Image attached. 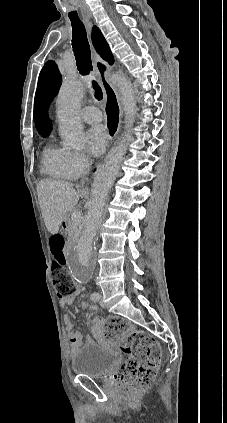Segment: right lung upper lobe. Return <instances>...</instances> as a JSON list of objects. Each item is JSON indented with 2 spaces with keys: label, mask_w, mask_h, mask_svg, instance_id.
Masks as SVG:
<instances>
[{
  "label": "right lung upper lobe",
  "mask_w": 227,
  "mask_h": 423,
  "mask_svg": "<svg viewBox=\"0 0 227 423\" xmlns=\"http://www.w3.org/2000/svg\"><path fill=\"white\" fill-rule=\"evenodd\" d=\"M92 31V42L97 52L105 61L113 64L114 57L102 33L96 26ZM61 83L62 77L57 65L53 61L47 62L39 75L34 108L36 127L42 134L47 135L51 131V121L47 117L46 110L58 93Z\"/></svg>",
  "instance_id": "cb5924a9"
}]
</instances>
